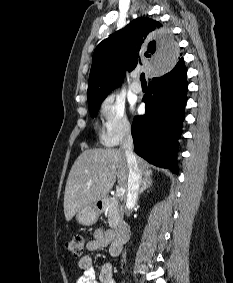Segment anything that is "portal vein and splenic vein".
I'll list each match as a JSON object with an SVG mask.
<instances>
[{
  "label": "portal vein and splenic vein",
  "mask_w": 233,
  "mask_h": 283,
  "mask_svg": "<svg viewBox=\"0 0 233 283\" xmlns=\"http://www.w3.org/2000/svg\"><path fill=\"white\" fill-rule=\"evenodd\" d=\"M124 193H125V189H124L123 187L117 188V190H116V196L121 197V196L124 195Z\"/></svg>",
  "instance_id": "1"
}]
</instances>
